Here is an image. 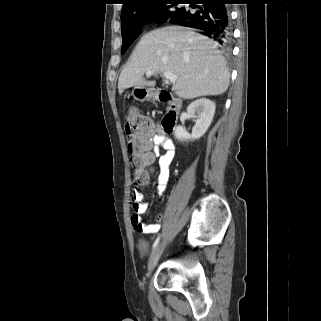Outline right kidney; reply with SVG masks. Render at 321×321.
I'll return each mask as SVG.
<instances>
[{"label": "right kidney", "instance_id": "1", "mask_svg": "<svg viewBox=\"0 0 321 321\" xmlns=\"http://www.w3.org/2000/svg\"><path fill=\"white\" fill-rule=\"evenodd\" d=\"M187 113L196 118L195 125L191 134L184 127L177 126L174 136L179 141L197 140L206 133L214 117L215 103L207 98L195 100L187 107Z\"/></svg>", "mask_w": 321, "mask_h": 321}]
</instances>
